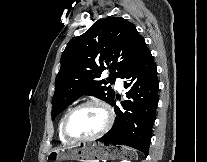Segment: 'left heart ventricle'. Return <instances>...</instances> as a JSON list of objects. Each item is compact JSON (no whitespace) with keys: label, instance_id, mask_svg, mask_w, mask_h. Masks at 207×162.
Segmentation results:
<instances>
[{"label":"left heart ventricle","instance_id":"left-heart-ventricle-1","mask_svg":"<svg viewBox=\"0 0 207 162\" xmlns=\"http://www.w3.org/2000/svg\"><path fill=\"white\" fill-rule=\"evenodd\" d=\"M105 123L104 111L95 105L77 111L68 121L67 132L71 137H87L99 132Z\"/></svg>","mask_w":207,"mask_h":162}]
</instances>
